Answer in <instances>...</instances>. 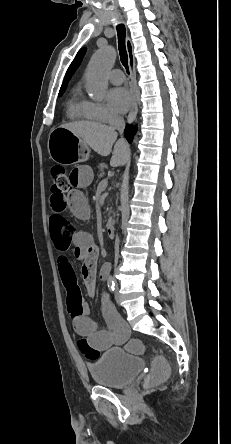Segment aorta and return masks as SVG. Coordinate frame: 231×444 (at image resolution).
Returning a JSON list of instances; mask_svg holds the SVG:
<instances>
[{
	"mask_svg": "<svg viewBox=\"0 0 231 444\" xmlns=\"http://www.w3.org/2000/svg\"><path fill=\"white\" fill-rule=\"evenodd\" d=\"M115 61V53L111 47L99 49L91 58L86 72V87L92 99L102 101L107 92V70Z\"/></svg>",
	"mask_w": 231,
	"mask_h": 444,
	"instance_id": "1",
	"label": "aorta"
}]
</instances>
